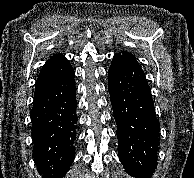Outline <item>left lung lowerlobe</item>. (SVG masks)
Here are the masks:
<instances>
[{
	"instance_id": "obj_1",
	"label": "left lung lower lobe",
	"mask_w": 194,
	"mask_h": 178,
	"mask_svg": "<svg viewBox=\"0 0 194 178\" xmlns=\"http://www.w3.org/2000/svg\"><path fill=\"white\" fill-rule=\"evenodd\" d=\"M108 88L117 123L119 158L135 178H151L157 165L160 126L141 66L114 56Z\"/></svg>"
}]
</instances>
